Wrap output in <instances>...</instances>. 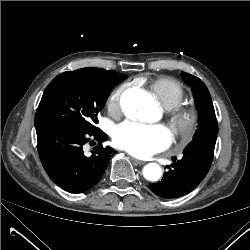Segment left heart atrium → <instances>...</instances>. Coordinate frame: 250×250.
Returning a JSON list of instances; mask_svg holds the SVG:
<instances>
[{"mask_svg":"<svg viewBox=\"0 0 250 250\" xmlns=\"http://www.w3.org/2000/svg\"><path fill=\"white\" fill-rule=\"evenodd\" d=\"M172 134L163 125H148L137 122H124L114 132V144L133 156L148 157L168 148Z\"/></svg>","mask_w":250,"mask_h":250,"instance_id":"1","label":"left heart atrium"}]
</instances>
